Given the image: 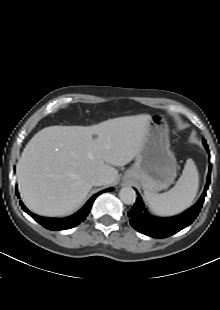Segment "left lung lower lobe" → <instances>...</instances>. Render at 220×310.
Wrapping results in <instances>:
<instances>
[{
    "mask_svg": "<svg viewBox=\"0 0 220 310\" xmlns=\"http://www.w3.org/2000/svg\"><path fill=\"white\" fill-rule=\"evenodd\" d=\"M208 151L207 144L204 145ZM211 179V167L208 170V177L204 192L198 202L184 213L169 217L158 218L151 216L142 202L140 195H138L136 203L128 212L130 217V224L138 232L153 238H166L190 225L198 216L206 196V191L209 187Z\"/></svg>",
    "mask_w": 220,
    "mask_h": 310,
    "instance_id": "obj_1",
    "label": "left lung lower lobe"
}]
</instances>
